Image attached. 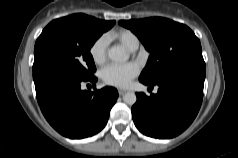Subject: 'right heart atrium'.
<instances>
[{"mask_svg":"<svg viewBox=\"0 0 238 158\" xmlns=\"http://www.w3.org/2000/svg\"><path fill=\"white\" fill-rule=\"evenodd\" d=\"M108 39L106 36L98 37L90 46L89 53L95 64H103L107 57Z\"/></svg>","mask_w":238,"mask_h":158,"instance_id":"right-heart-atrium-1","label":"right heart atrium"}]
</instances>
